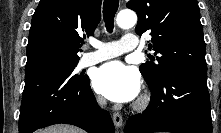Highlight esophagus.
Segmentation results:
<instances>
[{
	"mask_svg": "<svg viewBox=\"0 0 221 133\" xmlns=\"http://www.w3.org/2000/svg\"><path fill=\"white\" fill-rule=\"evenodd\" d=\"M113 122L116 128H120L122 126L123 118L119 112L113 113Z\"/></svg>",
	"mask_w": 221,
	"mask_h": 133,
	"instance_id": "obj_1",
	"label": "esophagus"
}]
</instances>
